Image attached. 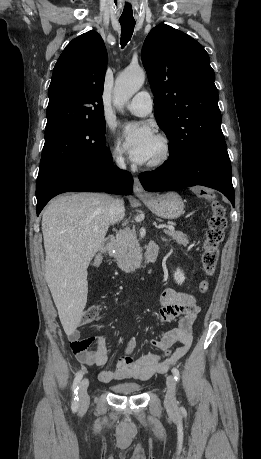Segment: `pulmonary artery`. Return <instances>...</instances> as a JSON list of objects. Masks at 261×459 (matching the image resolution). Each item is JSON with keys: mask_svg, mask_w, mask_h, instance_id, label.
Listing matches in <instances>:
<instances>
[{"mask_svg": "<svg viewBox=\"0 0 261 459\" xmlns=\"http://www.w3.org/2000/svg\"><path fill=\"white\" fill-rule=\"evenodd\" d=\"M125 107L134 115L146 116L153 107L151 95L147 91L138 92Z\"/></svg>", "mask_w": 261, "mask_h": 459, "instance_id": "1", "label": "pulmonary artery"}]
</instances>
